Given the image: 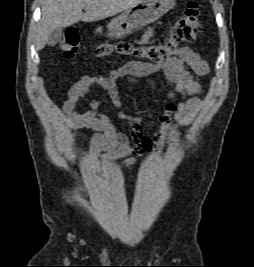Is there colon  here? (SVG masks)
<instances>
[{
	"mask_svg": "<svg viewBox=\"0 0 254 267\" xmlns=\"http://www.w3.org/2000/svg\"><path fill=\"white\" fill-rule=\"evenodd\" d=\"M200 28L198 4L195 1H189L183 15L172 26L169 37L162 43L135 46L131 43L113 44L104 41L96 47L95 52L98 56H108L117 52L146 58L155 63H162L176 56L182 44L193 42ZM79 45V32L74 28L68 29L60 42L63 57L67 60L73 59Z\"/></svg>",
	"mask_w": 254,
	"mask_h": 267,
	"instance_id": "5ec220e1",
	"label": "colon"
}]
</instances>
